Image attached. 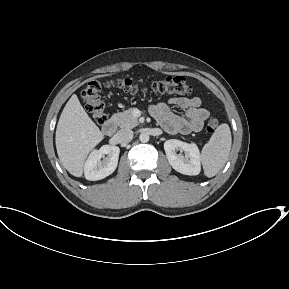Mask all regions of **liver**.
Masks as SVG:
<instances>
[{
    "label": "liver",
    "instance_id": "6515ba94",
    "mask_svg": "<svg viewBox=\"0 0 289 289\" xmlns=\"http://www.w3.org/2000/svg\"><path fill=\"white\" fill-rule=\"evenodd\" d=\"M103 138L73 94L61 113L55 136L57 154L64 168L73 176L81 177L87 155Z\"/></svg>",
    "mask_w": 289,
    "mask_h": 289
}]
</instances>
